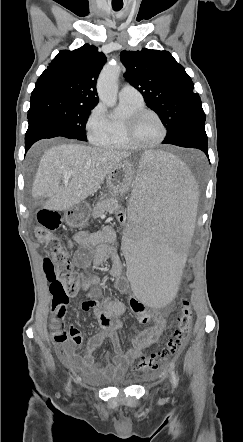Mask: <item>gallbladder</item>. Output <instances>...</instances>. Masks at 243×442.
Returning a JSON list of instances; mask_svg holds the SVG:
<instances>
[{
    "label": "gallbladder",
    "instance_id": "obj_1",
    "mask_svg": "<svg viewBox=\"0 0 243 442\" xmlns=\"http://www.w3.org/2000/svg\"><path fill=\"white\" fill-rule=\"evenodd\" d=\"M36 203L40 204L41 203V199L40 198L36 199Z\"/></svg>",
    "mask_w": 243,
    "mask_h": 442
}]
</instances>
